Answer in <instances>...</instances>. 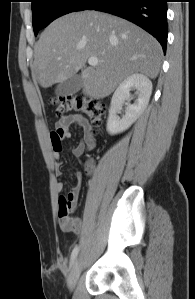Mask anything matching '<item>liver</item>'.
Returning a JSON list of instances; mask_svg holds the SVG:
<instances>
[{
  "instance_id": "liver-1",
  "label": "liver",
  "mask_w": 195,
  "mask_h": 299,
  "mask_svg": "<svg viewBox=\"0 0 195 299\" xmlns=\"http://www.w3.org/2000/svg\"><path fill=\"white\" fill-rule=\"evenodd\" d=\"M90 57L98 65L86 67ZM162 58L158 41L135 24L98 11L64 15L45 28L34 46L32 78L43 88L82 71L83 92L93 99L111 94L127 77L156 78Z\"/></svg>"
}]
</instances>
